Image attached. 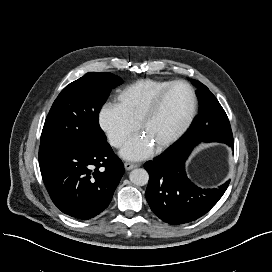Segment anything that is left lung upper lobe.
<instances>
[{
  "label": "left lung upper lobe",
  "instance_id": "5c2ea615",
  "mask_svg": "<svg viewBox=\"0 0 272 272\" xmlns=\"http://www.w3.org/2000/svg\"><path fill=\"white\" fill-rule=\"evenodd\" d=\"M192 82L198 88L199 115L190 129L198 130L209 141L232 137L228 117L216 97L202 83L195 80Z\"/></svg>",
  "mask_w": 272,
  "mask_h": 272
}]
</instances>
